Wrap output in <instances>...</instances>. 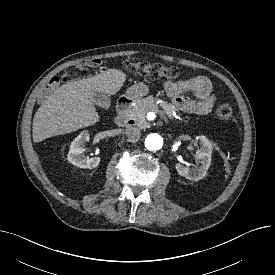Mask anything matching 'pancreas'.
Instances as JSON below:
<instances>
[{
	"label": "pancreas",
	"instance_id": "obj_1",
	"mask_svg": "<svg viewBox=\"0 0 275 275\" xmlns=\"http://www.w3.org/2000/svg\"><path fill=\"white\" fill-rule=\"evenodd\" d=\"M159 99L156 97H153L152 95L144 98V99H138L136 104L132 106L128 113L127 117L130 119H133L136 121L137 124L144 127L147 125L146 121V113L154 110L156 102H158ZM160 107L163 109V112L170 118V119H181L178 115H173V112L175 111V108L166 102H161Z\"/></svg>",
	"mask_w": 275,
	"mask_h": 275
}]
</instances>
